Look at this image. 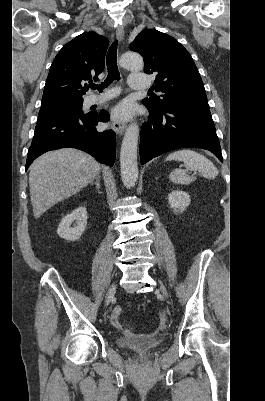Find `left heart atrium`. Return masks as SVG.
<instances>
[{
    "instance_id": "1",
    "label": "left heart atrium",
    "mask_w": 265,
    "mask_h": 401,
    "mask_svg": "<svg viewBox=\"0 0 265 401\" xmlns=\"http://www.w3.org/2000/svg\"><path fill=\"white\" fill-rule=\"evenodd\" d=\"M134 113V106L128 100L121 102L112 110L113 118L121 121L129 119Z\"/></svg>"
}]
</instances>
